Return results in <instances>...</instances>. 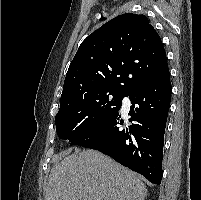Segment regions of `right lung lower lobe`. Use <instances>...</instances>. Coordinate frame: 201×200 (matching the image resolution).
Instances as JSON below:
<instances>
[{"instance_id":"obj_1","label":"right lung lower lobe","mask_w":201,"mask_h":200,"mask_svg":"<svg viewBox=\"0 0 201 200\" xmlns=\"http://www.w3.org/2000/svg\"><path fill=\"white\" fill-rule=\"evenodd\" d=\"M129 123L123 125L120 109L71 145L96 149L120 164L160 184L164 133L171 100L169 71L129 95Z\"/></svg>"}]
</instances>
